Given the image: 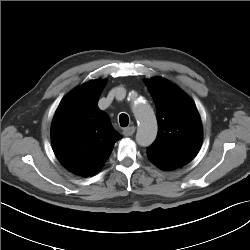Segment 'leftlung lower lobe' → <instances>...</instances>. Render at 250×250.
Masks as SVG:
<instances>
[{
  "mask_svg": "<svg viewBox=\"0 0 250 250\" xmlns=\"http://www.w3.org/2000/svg\"><path fill=\"white\" fill-rule=\"evenodd\" d=\"M148 159L162 170H173L186 165L189 161L184 159H173L154 155L147 152Z\"/></svg>",
  "mask_w": 250,
  "mask_h": 250,
  "instance_id": "0a47b994",
  "label": "left lung lower lobe"
}]
</instances>
